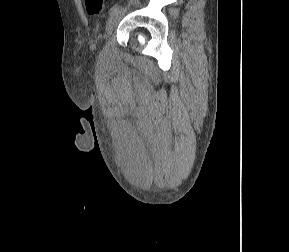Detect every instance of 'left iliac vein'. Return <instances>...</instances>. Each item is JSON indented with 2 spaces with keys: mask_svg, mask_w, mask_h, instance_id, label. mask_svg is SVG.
Returning <instances> with one entry per match:
<instances>
[{
  "mask_svg": "<svg viewBox=\"0 0 289 252\" xmlns=\"http://www.w3.org/2000/svg\"><path fill=\"white\" fill-rule=\"evenodd\" d=\"M124 13L123 9H119L117 12L111 14L106 23L105 36L109 37L113 32L114 28L117 26L122 15Z\"/></svg>",
  "mask_w": 289,
  "mask_h": 252,
  "instance_id": "4c4485c4",
  "label": "left iliac vein"
}]
</instances>
